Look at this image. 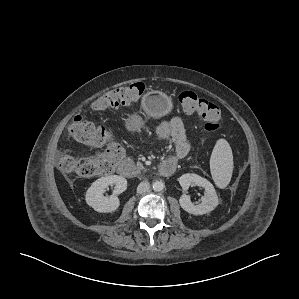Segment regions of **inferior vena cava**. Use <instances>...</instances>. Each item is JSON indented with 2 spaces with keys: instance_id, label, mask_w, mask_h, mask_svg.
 I'll return each mask as SVG.
<instances>
[{
  "instance_id": "1",
  "label": "inferior vena cava",
  "mask_w": 299,
  "mask_h": 299,
  "mask_svg": "<svg viewBox=\"0 0 299 299\" xmlns=\"http://www.w3.org/2000/svg\"><path fill=\"white\" fill-rule=\"evenodd\" d=\"M150 189V184L148 181H142L137 187V193L142 194Z\"/></svg>"
}]
</instances>
